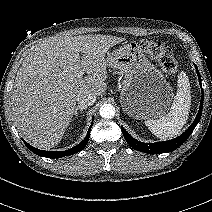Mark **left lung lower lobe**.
<instances>
[{
  "mask_svg": "<svg viewBox=\"0 0 212 212\" xmlns=\"http://www.w3.org/2000/svg\"><path fill=\"white\" fill-rule=\"evenodd\" d=\"M195 68L197 71L199 83L201 85V77H200L199 71L196 66H195ZM201 87H202V85H201ZM202 107H203V89H202V97H201V101H200V108H199L198 114H197L194 122L183 134H181L177 138L169 140V141L157 142V143H152V144L143 143V142L137 141L136 139L132 138L123 127L121 128L122 133H123L124 138L127 141V143L132 148L139 150L141 152L148 153V154H159V153L171 152L173 150H176L179 146H181L191 135V133L193 132L194 128L196 127V125L198 124V122L200 120V117L202 114Z\"/></svg>",
  "mask_w": 212,
  "mask_h": 212,
  "instance_id": "obj_1",
  "label": "left lung lower lobe"
}]
</instances>
